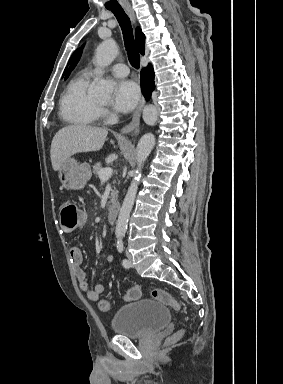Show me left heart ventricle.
Wrapping results in <instances>:
<instances>
[{
	"mask_svg": "<svg viewBox=\"0 0 283 384\" xmlns=\"http://www.w3.org/2000/svg\"><path fill=\"white\" fill-rule=\"evenodd\" d=\"M109 100H99L98 102L102 103V104H106Z\"/></svg>",
	"mask_w": 283,
	"mask_h": 384,
	"instance_id": "1",
	"label": "left heart ventricle"
}]
</instances>
